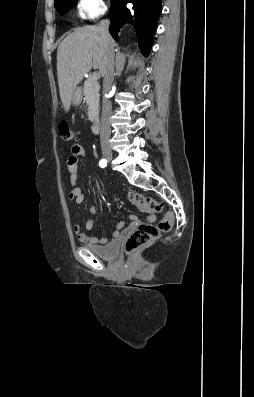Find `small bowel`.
I'll return each mask as SVG.
<instances>
[{"instance_id":"obj_1","label":"small bowel","mask_w":254,"mask_h":397,"mask_svg":"<svg viewBox=\"0 0 254 397\" xmlns=\"http://www.w3.org/2000/svg\"><path fill=\"white\" fill-rule=\"evenodd\" d=\"M85 154H86V151L83 146H81L79 144H74L71 147V155L67 160V168H68V172H69V182L72 187L71 191L69 192L68 197L71 201H74L77 205L82 204L85 199V193L83 192L81 187H79L77 185L79 161H80L81 157L85 156ZM96 213H97V208L95 206H91L89 208L90 217L87 219V221L85 222V225H84L86 231H90L93 228V226H94V218L93 217ZM130 219H131L132 223L129 228H125L124 222H119L117 224L116 229L113 232V236L115 238L119 237V235L122 232H126L128 229L133 228L136 225H138L139 221L137 220L136 216L131 215ZM148 220L150 222H154L156 220L155 215H150L148 217ZM72 228H73V232L77 235L78 240L83 244L91 246V245H96V244H104L107 242L106 238H98V237L89 236L88 234H86L85 232L82 231L80 224L75 223V224H73Z\"/></svg>"}]
</instances>
